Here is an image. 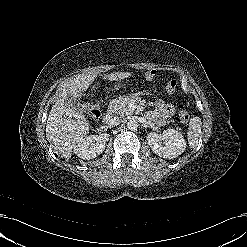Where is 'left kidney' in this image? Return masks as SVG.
Masks as SVG:
<instances>
[{
	"mask_svg": "<svg viewBox=\"0 0 247 247\" xmlns=\"http://www.w3.org/2000/svg\"><path fill=\"white\" fill-rule=\"evenodd\" d=\"M146 140L156 155L166 159L178 157L186 148L182 132L176 129H166L162 133L151 132Z\"/></svg>",
	"mask_w": 247,
	"mask_h": 247,
	"instance_id": "5707ae66",
	"label": "left kidney"
}]
</instances>
